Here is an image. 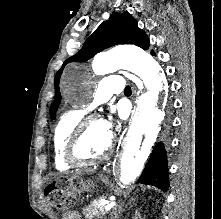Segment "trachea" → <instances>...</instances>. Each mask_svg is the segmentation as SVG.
<instances>
[{
    "mask_svg": "<svg viewBox=\"0 0 221 219\" xmlns=\"http://www.w3.org/2000/svg\"><path fill=\"white\" fill-rule=\"evenodd\" d=\"M131 92H132V91H131L130 86H126L125 89H124V93H125V94H131Z\"/></svg>",
    "mask_w": 221,
    "mask_h": 219,
    "instance_id": "1",
    "label": "trachea"
}]
</instances>
